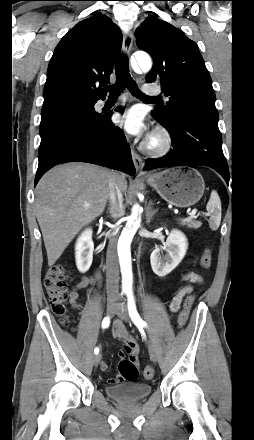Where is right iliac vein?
I'll list each match as a JSON object with an SVG mask.
<instances>
[{"label": "right iliac vein", "instance_id": "right-iliac-vein-1", "mask_svg": "<svg viewBox=\"0 0 254 440\" xmlns=\"http://www.w3.org/2000/svg\"><path fill=\"white\" fill-rule=\"evenodd\" d=\"M115 311H116L115 304L110 303V304L107 305V314L108 315L112 316L115 313ZM100 361H101V354L95 355L94 358H93L94 366L97 367L99 365Z\"/></svg>", "mask_w": 254, "mask_h": 440}]
</instances>
